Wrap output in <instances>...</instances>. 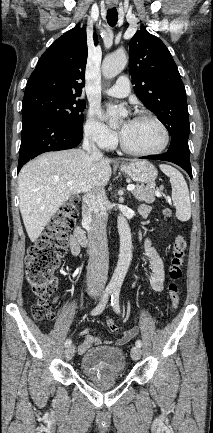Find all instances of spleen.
<instances>
[{
  "mask_svg": "<svg viewBox=\"0 0 213 433\" xmlns=\"http://www.w3.org/2000/svg\"><path fill=\"white\" fill-rule=\"evenodd\" d=\"M161 171L170 178L172 200L176 206V217L180 221H188L191 217V202L187 183L183 175L170 165L161 164Z\"/></svg>",
  "mask_w": 213,
  "mask_h": 433,
  "instance_id": "1",
  "label": "spleen"
}]
</instances>
